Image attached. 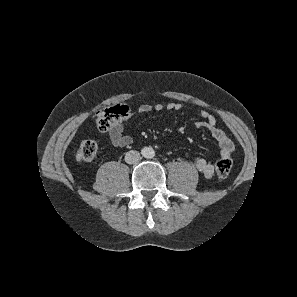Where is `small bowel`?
Returning <instances> with one entry per match:
<instances>
[{
  "label": "small bowel",
  "mask_w": 297,
  "mask_h": 297,
  "mask_svg": "<svg viewBox=\"0 0 297 297\" xmlns=\"http://www.w3.org/2000/svg\"><path fill=\"white\" fill-rule=\"evenodd\" d=\"M164 109L169 111H179L182 109V104L179 102H170L165 105L156 104L154 107L149 105L140 106L136 113L137 114H145L149 113L152 110L157 112H161ZM200 116L202 121H198L195 123L196 128H204L209 131L212 138L217 142L218 145V153L221 158H229L231 153L234 150V144L232 140L227 136V134L217 126V121L214 115L206 110L200 111ZM130 117L128 114L124 120L116 123L109 130V137L112 144L116 147H127L132 144L133 139L131 136L125 134V122ZM193 163L195 168L203 174L205 178H212L214 175V166L208 162L205 158L197 156L193 158Z\"/></svg>",
  "instance_id": "obj_1"
}]
</instances>
